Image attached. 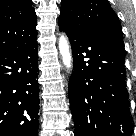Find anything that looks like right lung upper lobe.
<instances>
[{
  "mask_svg": "<svg viewBox=\"0 0 136 136\" xmlns=\"http://www.w3.org/2000/svg\"><path fill=\"white\" fill-rule=\"evenodd\" d=\"M36 23L31 0H0V52L36 37Z\"/></svg>",
  "mask_w": 136,
  "mask_h": 136,
  "instance_id": "obj_1",
  "label": "right lung upper lobe"
}]
</instances>
